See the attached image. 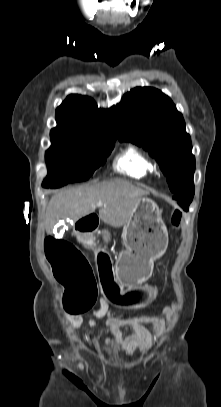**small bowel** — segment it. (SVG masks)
<instances>
[{
    "label": "small bowel",
    "mask_w": 221,
    "mask_h": 407,
    "mask_svg": "<svg viewBox=\"0 0 221 407\" xmlns=\"http://www.w3.org/2000/svg\"><path fill=\"white\" fill-rule=\"evenodd\" d=\"M174 311V306L163 309L159 317H140L134 316L130 319H122L112 313L107 300L101 298L98 307L93 311V316L97 319L106 317L107 319V334L105 339L104 350L114 348L122 353L132 355L136 351L147 352L153 341L160 338L165 332ZM71 324L75 328L84 325V320L80 316H72ZM143 322H147L152 326L153 335L143 326ZM87 325L92 327L95 325L93 319L87 322ZM130 328L133 333L127 337H123L121 328Z\"/></svg>",
    "instance_id": "obj_1"
}]
</instances>
